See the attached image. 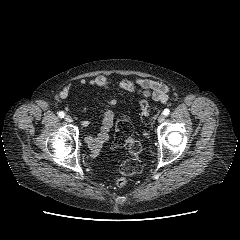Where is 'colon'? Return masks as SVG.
Masks as SVG:
<instances>
[{
  "label": "colon",
  "instance_id": "obj_1",
  "mask_svg": "<svg viewBox=\"0 0 240 240\" xmlns=\"http://www.w3.org/2000/svg\"><path fill=\"white\" fill-rule=\"evenodd\" d=\"M141 117L144 122H151L157 115V108L150 107L145 100L139 101ZM133 127L131 122L125 115H121L117 120L114 145L118 147H126L130 158L122 165V176L117 179L116 185L123 187L127 183V177L142 172V162L140 160L141 144L133 137Z\"/></svg>",
  "mask_w": 240,
  "mask_h": 240
}]
</instances>
